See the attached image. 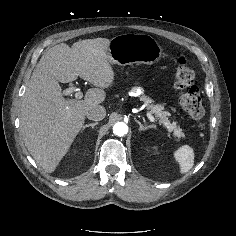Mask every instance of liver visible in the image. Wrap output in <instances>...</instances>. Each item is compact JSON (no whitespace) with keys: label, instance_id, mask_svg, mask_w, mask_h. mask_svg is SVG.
I'll use <instances>...</instances> for the list:
<instances>
[{"label":"liver","instance_id":"liver-1","mask_svg":"<svg viewBox=\"0 0 236 236\" xmlns=\"http://www.w3.org/2000/svg\"><path fill=\"white\" fill-rule=\"evenodd\" d=\"M106 38L85 39L72 47L65 43L47 50L37 63L21 104L20 129L26 148L47 173L55 171L69 151L85 115L106 97L115 73L110 65ZM78 77L96 88L83 100H66L61 83Z\"/></svg>","mask_w":236,"mask_h":236}]
</instances>
